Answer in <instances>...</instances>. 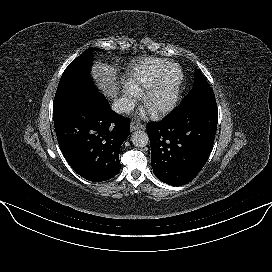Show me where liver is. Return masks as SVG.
<instances>
[{"label":"liver","instance_id":"liver-1","mask_svg":"<svg viewBox=\"0 0 272 272\" xmlns=\"http://www.w3.org/2000/svg\"><path fill=\"white\" fill-rule=\"evenodd\" d=\"M92 76L97 82V86L109 98H116L119 93V85L116 81L117 70L102 62H97L92 68Z\"/></svg>","mask_w":272,"mask_h":272}]
</instances>
